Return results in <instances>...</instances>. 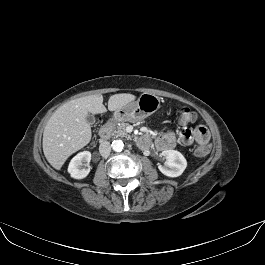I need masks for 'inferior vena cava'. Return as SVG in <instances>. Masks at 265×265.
Returning <instances> with one entry per match:
<instances>
[{"mask_svg": "<svg viewBox=\"0 0 265 265\" xmlns=\"http://www.w3.org/2000/svg\"><path fill=\"white\" fill-rule=\"evenodd\" d=\"M99 152L102 157H108L111 152V146L108 141L101 142L99 146Z\"/></svg>", "mask_w": 265, "mask_h": 265, "instance_id": "1", "label": "inferior vena cava"}]
</instances>
